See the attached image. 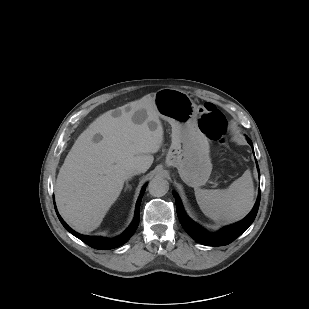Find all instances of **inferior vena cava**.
Listing matches in <instances>:
<instances>
[{
  "label": "inferior vena cava",
  "mask_w": 309,
  "mask_h": 309,
  "mask_svg": "<svg viewBox=\"0 0 309 309\" xmlns=\"http://www.w3.org/2000/svg\"><path fill=\"white\" fill-rule=\"evenodd\" d=\"M140 173H143V168L140 167V166H135L131 169H129L127 172H126V179L133 176V175H136V174H140Z\"/></svg>",
  "instance_id": "1"
}]
</instances>
